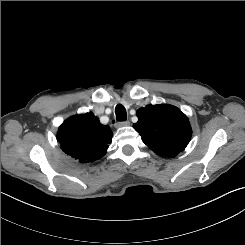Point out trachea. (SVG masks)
I'll use <instances>...</instances> for the list:
<instances>
[{
  "mask_svg": "<svg viewBox=\"0 0 245 245\" xmlns=\"http://www.w3.org/2000/svg\"><path fill=\"white\" fill-rule=\"evenodd\" d=\"M116 120L125 121L127 119L126 109L123 105L118 104L115 108Z\"/></svg>",
  "mask_w": 245,
  "mask_h": 245,
  "instance_id": "obj_1",
  "label": "trachea"
}]
</instances>
